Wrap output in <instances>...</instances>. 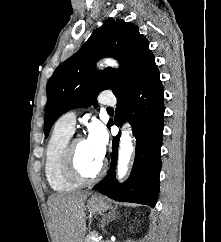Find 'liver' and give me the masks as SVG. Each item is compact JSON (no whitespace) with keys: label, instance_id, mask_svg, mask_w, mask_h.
Segmentation results:
<instances>
[{"label":"liver","instance_id":"1","mask_svg":"<svg viewBox=\"0 0 221 242\" xmlns=\"http://www.w3.org/2000/svg\"><path fill=\"white\" fill-rule=\"evenodd\" d=\"M88 196L89 192H80L49 197L53 242H83L86 231L85 200Z\"/></svg>","mask_w":221,"mask_h":242}]
</instances>
